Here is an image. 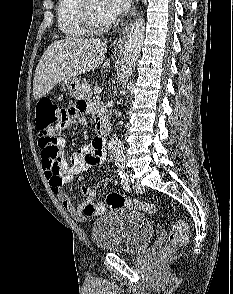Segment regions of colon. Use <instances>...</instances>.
<instances>
[{
    "label": "colon",
    "instance_id": "1",
    "mask_svg": "<svg viewBox=\"0 0 233 294\" xmlns=\"http://www.w3.org/2000/svg\"><path fill=\"white\" fill-rule=\"evenodd\" d=\"M58 114H61L59 113V107L50 98L40 99L36 106L35 115V124L39 132H55L53 131L52 123H54V120H60L58 119ZM55 139V137H40V142L43 145L53 144ZM120 207H127L148 214H153L156 211V207L152 203L130 199L118 193H111L106 197L105 203L89 205L86 207V212L99 215L107 208L115 209ZM189 234L188 224L183 220L176 221L169 232L168 244L160 253L161 258H165L173 248L185 244Z\"/></svg>",
    "mask_w": 233,
    "mask_h": 294
}]
</instances>
